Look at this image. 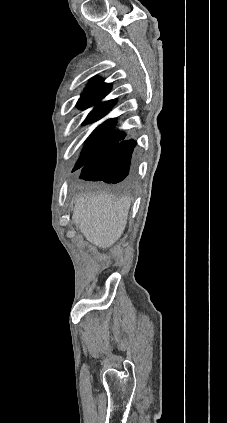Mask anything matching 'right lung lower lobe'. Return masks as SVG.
<instances>
[{"label": "right lung lower lobe", "mask_w": 227, "mask_h": 423, "mask_svg": "<svg viewBox=\"0 0 227 423\" xmlns=\"http://www.w3.org/2000/svg\"><path fill=\"white\" fill-rule=\"evenodd\" d=\"M134 147L135 142L127 140L95 154L83 165L80 178L113 184L121 182L129 173Z\"/></svg>", "instance_id": "right-lung-lower-lobe-1"}]
</instances>
